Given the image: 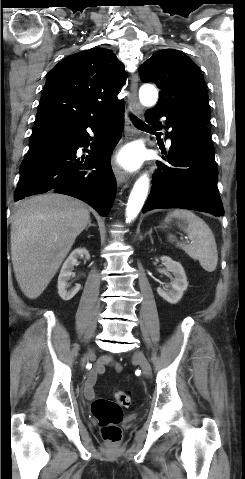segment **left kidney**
<instances>
[{"mask_svg": "<svg viewBox=\"0 0 245 479\" xmlns=\"http://www.w3.org/2000/svg\"><path fill=\"white\" fill-rule=\"evenodd\" d=\"M160 260L166 267V270L174 275V280L170 284V286H166L163 288L158 287L157 292L167 302L171 304H176L180 301L184 291L188 287L187 277L184 268L179 262L172 260L168 256H162ZM169 287H171V289H168Z\"/></svg>", "mask_w": 245, "mask_h": 479, "instance_id": "obj_1", "label": "left kidney"}]
</instances>
